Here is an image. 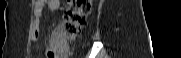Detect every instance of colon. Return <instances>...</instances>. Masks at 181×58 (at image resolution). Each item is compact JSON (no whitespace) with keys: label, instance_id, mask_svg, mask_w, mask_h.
Masks as SVG:
<instances>
[{"label":"colon","instance_id":"5ec220e1","mask_svg":"<svg viewBox=\"0 0 181 58\" xmlns=\"http://www.w3.org/2000/svg\"><path fill=\"white\" fill-rule=\"evenodd\" d=\"M91 0H68L63 9V22L60 29L49 40L48 58H65L68 42L77 38L86 24L90 13Z\"/></svg>","mask_w":181,"mask_h":58}]
</instances>
